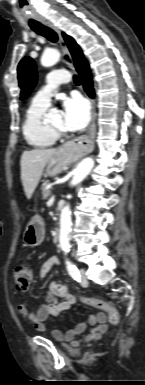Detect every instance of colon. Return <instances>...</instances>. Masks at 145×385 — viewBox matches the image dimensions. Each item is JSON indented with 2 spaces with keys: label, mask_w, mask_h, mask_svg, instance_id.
Listing matches in <instances>:
<instances>
[{
  "label": "colon",
  "mask_w": 145,
  "mask_h": 385,
  "mask_svg": "<svg viewBox=\"0 0 145 385\" xmlns=\"http://www.w3.org/2000/svg\"><path fill=\"white\" fill-rule=\"evenodd\" d=\"M31 280L32 273L28 267L20 265L15 268L14 281L18 290L25 291L29 287ZM55 290L60 294L64 292L61 284H57ZM83 302L88 306L103 310L107 314L108 321L111 325L117 326L119 324L120 314L113 305L96 299H84Z\"/></svg>",
  "instance_id": "5ec220e1"
}]
</instances>
